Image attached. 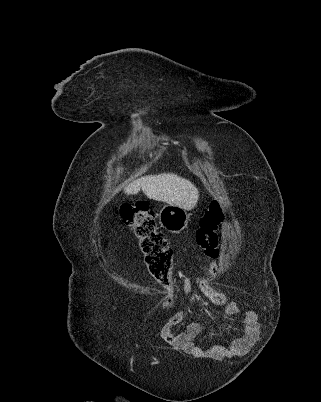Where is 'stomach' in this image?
I'll return each instance as SVG.
<instances>
[{
    "mask_svg": "<svg viewBox=\"0 0 321 402\" xmlns=\"http://www.w3.org/2000/svg\"><path fill=\"white\" fill-rule=\"evenodd\" d=\"M159 223L170 233H180L187 227L188 215L180 206L167 204L160 210Z\"/></svg>",
    "mask_w": 321,
    "mask_h": 402,
    "instance_id": "1",
    "label": "stomach"
}]
</instances>
